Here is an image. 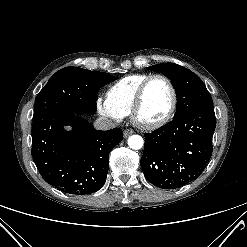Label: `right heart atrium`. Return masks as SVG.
<instances>
[{
  "instance_id": "d8ad5b80",
  "label": "right heart atrium",
  "mask_w": 247,
  "mask_h": 247,
  "mask_svg": "<svg viewBox=\"0 0 247 247\" xmlns=\"http://www.w3.org/2000/svg\"><path fill=\"white\" fill-rule=\"evenodd\" d=\"M96 106L99 113L109 119L119 121L123 117L118 113L108 102L106 98L99 97L96 101Z\"/></svg>"
}]
</instances>
